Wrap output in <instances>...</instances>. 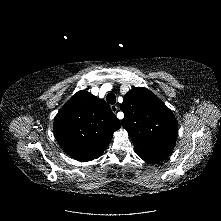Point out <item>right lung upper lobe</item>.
Segmentation results:
<instances>
[{
  "label": "right lung upper lobe",
  "instance_id": "1",
  "mask_svg": "<svg viewBox=\"0 0 221 221\" xmlns=\"http://www.w3.org/2000/svg\"><path fill=\"white\" fill-rule=\"evenodd\" d=\"M120 127L119 119L103 99L82 90L60 109L53 130L67 154L87 162L104 152Z\"/></svg>",
  "mask_w": 221,
  "mask_h": 221
}]
</instances>
